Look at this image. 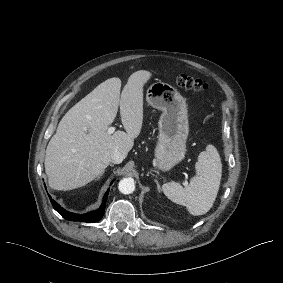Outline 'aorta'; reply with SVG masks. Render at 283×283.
Here are the masks:
<instances>
[{"mask_svg": "<svg viewBox=\"0 0 283 283\" xmlns=\"http://www.w3.org/2000/svg\"><path fill=\"white\" fill-rule=\"evenodd\" d=\"M118 189L123 194H131L135 190V183L132 178H124L119 181Z\"/></svg>", "mask_w": 283, "mask_h": 283, "instance_id": "aorta-1", "label": "aorta"}]
</instances>
